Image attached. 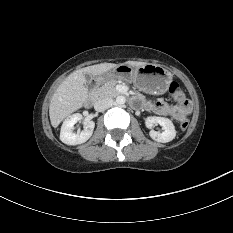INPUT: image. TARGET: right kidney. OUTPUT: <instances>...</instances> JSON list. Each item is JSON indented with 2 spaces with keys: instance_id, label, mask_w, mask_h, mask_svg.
Masks as SVG:
<instances>
[{
  "instance_id": "right-kidney-1",
  "label": "right kidney",
  "mask_w": 233,
  "mask_h": 233,
  "mask_svg": "<svg viewBox=\"0 0 233 233\" xmlns=\"http://www.w3.org/2000/svg\"><path fill=\"white\" fill-rule=\"evenodd\" d=\"M82 119L80 113H75L67 117L61 127L60 140L67 145H78L86 142L93 134L95 123L93 121L84 122V130L74 133V125Z\"/></svg>"
}]
</instances>
